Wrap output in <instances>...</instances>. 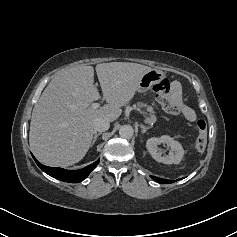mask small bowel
Segmentation results:
<instances>
[{
    "mask_svg": "<svg viewBox=\"0 0 237 237\" xmlns=\"http://www.w3.org/2000/svg\"><path fill=\"white\" fill-rule=\"evenodd\" d=\"M171 89H172L173 98L175 100L179 101L182 104L183 116L185 117V119L188 120V121H194L196 119V113L191 107H189V106L182 103L179 85L174 83L171 86Z\"/></svg>",
    "mask_w": 237,
    "mask_h": 237,
    "instance_id": "c3829d8e",
    "label": "small bowel"
}]
</instances>
